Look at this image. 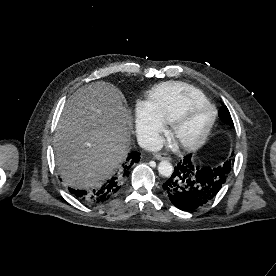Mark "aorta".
I'll list each match as a JSON object with an SVG mask.
<instances>
[{
  "label": "aorta",
  "mask_w": 276,
  "mask_h": 276,
  "mask_svg": "<svg viewBox=\"0 0 276 276\" xmlns=\"http://www.w3.org/2000/svg\"><path fill=\"white\" fill-rule=\"evenodd\" d=\"M158 172L161 176L170 177L173 173V166L168 161H161L158 165Z\"/></svg>",
  "instance_id": "aorta-1"
}]
</instances>
